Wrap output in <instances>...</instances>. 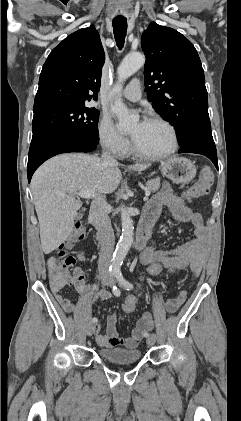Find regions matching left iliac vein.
Segmentation results:
<instances>
[{
	"mask_svg": "<svg viewBox=\"0 0 241 421\" xmlns=\"http://www.w3.org/2000/svg\"><path fill=\"white\" fill-rule=\"evenodd\" d=\"M147 344L148 345H154L155 344V342H156V336H155V334H151V335H149L148 337H147Z\"/></svg>",
	"mask_w": 241,
	"mask_h": 421,
	"instance_id": "left-iliac-vein-1",
	"label": "left iliac vein"
}]
</instances>
